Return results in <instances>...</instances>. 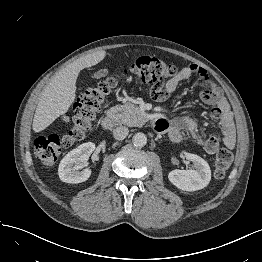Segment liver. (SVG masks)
<instances>
[{
	"mask_svg": "<svg viewBox=\"0 0 262 262\" xmlns=\"http://www.w3.org/2000/svg\"><path fill=\"white\" fill-rule=\"evenodd\" d=\"M105 56L104 50L86 55L54 75L43 90L35 111L32 128L36 133L46 129L69 110L75 100L76 80L80 71L95 66Z\"/></svg>",
	"mask_w": 262,
	"mask_h": 262,
	"instance_id": "liver-1",
	"label": "liver"
}]
</instances>
